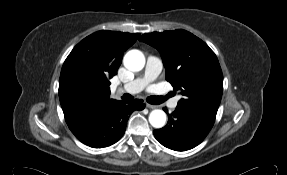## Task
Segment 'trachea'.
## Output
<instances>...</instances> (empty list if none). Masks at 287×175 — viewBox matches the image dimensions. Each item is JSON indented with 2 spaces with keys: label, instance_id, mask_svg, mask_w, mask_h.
Wrapping results in <instances>:
<instances>
[{
  "label": "trachea",
  "instance_id": "1",
  "mask_svg": "<svg viewBox=\"0 0 287 175\" xmlns=\"http://www.w3.org/2000/svg\"><path fill=\"white\" fill-rule=\"evenodd\" d=\"M171 94H168L167 96H150L147 98V102L153 105H158L166 101V99L170 98ZM132 97L130 95H127L125 99H131Z\"/></svg>",
  "mask_w": 287,
  "mask_h": 175
}]
</instances>
